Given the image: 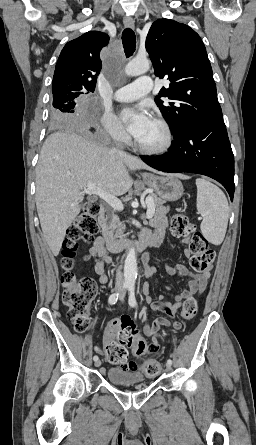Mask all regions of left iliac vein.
Masks as SVG:
<instances>
[{
  "label": "left iliac vein",
  "mask_w": 256,
  "mask_h": 445,
  "mask_svg": "<svg viewBox=\"0 0 256 445\" xmlns=\"http://www.w3.org/2000/svg\"><path fill=\"white\" fill-rule=\"evenodd\" d=\"M124 297H125V293H122V294L120 295V299L123 301V300H124ZM166 369H167V370H171V365H170V364H166Z\"/></svg>",
  "instance_id": "4c4485c4"
}]
</instances>
